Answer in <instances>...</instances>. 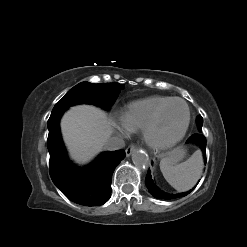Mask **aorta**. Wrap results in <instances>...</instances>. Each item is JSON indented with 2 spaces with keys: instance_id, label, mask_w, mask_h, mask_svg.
Returning a JSON list of instances; mask_svg holds the SVG:
<instances>
[{
  "instance_id": "obj_1",
  "label": "aorta",
  "mask_w": 247,
  "mask_h": 247,
  "mask_svg": "<svg viewBox=\"0 0 247 247\" xmlns=\"http://www.w3.org/2000/svg\"><path fill=\"white\" fill-rule=\"evenodd\" d=\"M134 165L139 169H147L150 164L148 155L145 152L137 150L132 155Z\"/></svg>"
}]
</instances>
